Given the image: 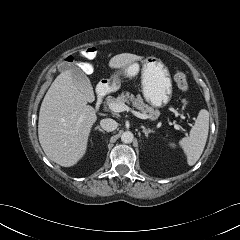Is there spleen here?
Here are the masks:
<instances>
[{
	"mask_svg": "<svg viewBox=\"0 0 240 240\" xmlns=\"http://www.w3.org/2000/svg\"><path fill=\"white\" fill-rule=\"evenodd\" d=\"M209 131V112L206 109H201L195 120V124L190 130L188 137H184L179 141L180 147L183 149L187 163L193 166L203 153ZM175 148L174 143L169 144Z\"/></svg>",
	"mask_w": 240,
	"mask_h": 240,
	"instance_id": "3e777b00",
	"label": "spleen"
}]
</instances>
